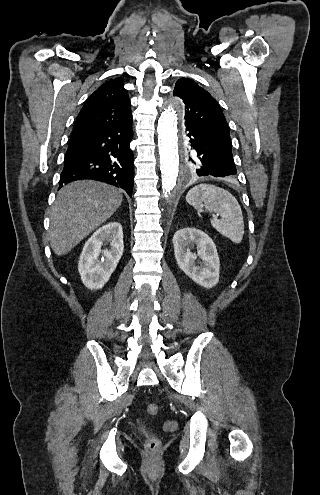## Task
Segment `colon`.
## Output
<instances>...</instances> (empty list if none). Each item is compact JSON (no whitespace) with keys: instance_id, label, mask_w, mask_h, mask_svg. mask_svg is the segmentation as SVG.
Returning <instances> with one entry per match:
<instances>
[{"instance_id":"obj_1","label":"colon","mask_w":320,"mask_h":495,"mask_svg":"<svg viewBox=\"0 0 320 495\" xmlns=\"http://www.w3.org/2000/svg\"><path fill=\"white\" fill-rule=\"evenodd\" d=\"M160 411V407L157 403H150L147 406V413L150 416H156ZM142 435L145 437V446L150 451H155L160 447V440L158 437L147 431L145 428L141 429Z\"/></svg>"}]
</instances>
